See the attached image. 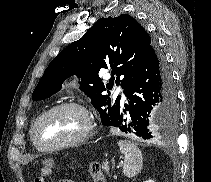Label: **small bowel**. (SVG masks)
Listing matches in <instances>:
<instances>
[{
	"instance_id": "1",
	"label": "small bowel",
	"mask_w": 211,
	"mask_h": 182,
	"mask_svg": "<svg viewBox=\"0 0 211 182\" xmlns=\"http://www.w3.org/2000/svg\"><path fill=\"white\" fill-rule=\"evenodd\" d=\"M60 182H73V181H70V180H62Z\"/></svg>"
}]
</instances>
